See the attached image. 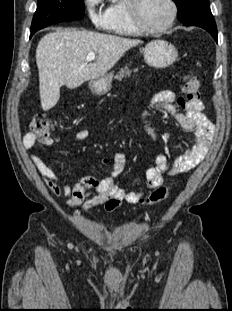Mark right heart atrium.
<instances>
[{
  "mask_svg": "<svg viewBox=\"0 0 232 311\" xmlns=\"http://www.w3.org/2000/svg\"><path fill=\"white\" fill-rule=\"evenodd\" d=\"M85 10L97 29H104L107 25V10L103 9V0H84Z\"/></svg>",
  "mask_w": 232,
  "mask_h": 311,
  "instance_id": "d8ad5b80",
  "label": "right heart atrium"
}]
</instances>
